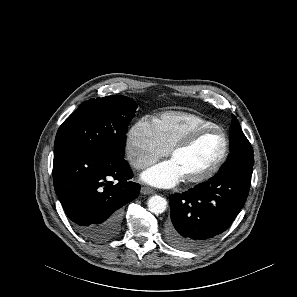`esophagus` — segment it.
<instances>
[{
	"label": "esophagus",
	"mask_w": 297,
	"mask_h": 297,
	"mask_svg": "<svg viewBox=\"0 0 297 297\" xmlns=\"http://www.w3.org/2000/svg\"><path fill=\"white\" fill-rule=\"evenodd\" d=\"M141 193L144 195H149V194H153L154 190H152L151 188H148V187H142Z\"/></svg>",
	"instance_id": "34e87169"
}]
</instances>
